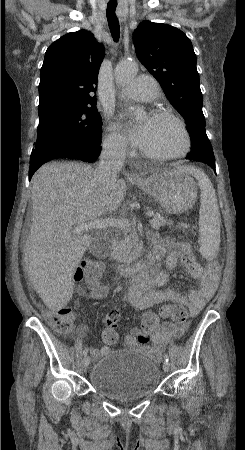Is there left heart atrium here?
I'll use <instances>...</instances> for the list:
<instances>
[{"mask_svg": "<svg viewBox=\"0 0 245 450\" xmlns=\"http://www.w3.org/2000/svg\"><path fill=\"white\" fill-rule=\"evenodd\" d=\"M145 126L143 124L136 127H129L128 133L130 140L136 146H142L145 137Z\"/></svg>", "mask_w": 245, "mask_h": 450, "instance_id": "left-heart-atrium-1", "label": "left heart atrium"}]
</instances>
